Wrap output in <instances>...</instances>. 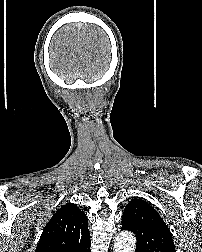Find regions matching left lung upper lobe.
I'll return each instance as SVG.
<instances>
[{"label":"left lung upper lobe","mask_w":202,"mask_h":252,"mask_svg":"<svg viewBox=\"0 0 202 252\" xmlns=\"http://www.w3.org/2000/svg\"><path fill=\"white\" fill-rule=\"evenodd\" d=\"M121 229L135 234V252H175L169 228L157 211L144 200L134 198L127 204Z\"/></svg>","instance_id":"obj_1"}]
</instances>
